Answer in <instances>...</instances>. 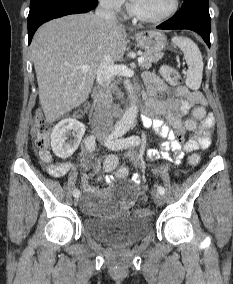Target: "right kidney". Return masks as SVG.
<instances>
[{
  "label": "right kidney",
  "mask_w": 233,
  "mask_h": 284,
  "mask_svg": "<svg viewBox=\"0 0 233 284\" xmlns=\"http://www.w3.org/2000/svg\"><path fill=\"white\" fill-rule=\"evenodd\" d=\"M85 133V125L72 118L60 121L51 133V147L56 156L70 157L78 148Z\"/></svg>",
  "instance_id": "ca27d5eb"
}]
</instances>
